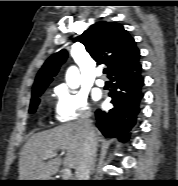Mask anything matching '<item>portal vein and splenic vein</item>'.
<instances>
[{"mask_svg":"<svg viewBox=\"0 0 178 186\" xmlns=\"http://www.w3.org/2000/svg\"><path fill=\"white\" fill-rule=\"evenodd\" d=\"M56 155V152H49L45 155L44 159H48V158H51V157H54ZM71 169L69 167H66L64 170H63V175H62V178L64 180H69V178L71 177Z\"/></svg>","mask_w":178,"mask_h":186,"instance_id":"18ae733b","label":"portal vein and splenic vein"}]
</instances>
